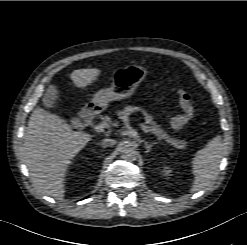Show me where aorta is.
<instances>
[{"mask_svg": "<svg viewBox=\"0 0 247 245\" xmlns=\"http://www.w3.org/2000/svg\"><path fill=\"white\" fill-rule=\"evenodd\" d=\"M137 151L133 146L124 145L121 150V158L125 161H135L137 158Z\"/></svg>", "mask_w": 247, "mask_h": 245, "instance_id": "762f6f07", "label": "aorta"}]
</instances>
